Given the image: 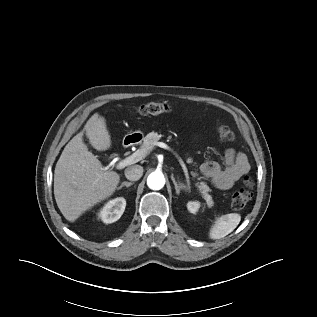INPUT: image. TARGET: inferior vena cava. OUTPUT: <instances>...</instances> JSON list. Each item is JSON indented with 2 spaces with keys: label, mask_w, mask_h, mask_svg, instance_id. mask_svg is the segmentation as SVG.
I'll return each mask as SVG.
<instances>
[{
  "label": "inferior vena cava",
  "mask_w": 317,
  "mask_h": 317,
  "mask_svg": "<svg viewBox=\"0 0 317 317\" xmlns=\"http://www.w3.org/2000/svg\"><path fill=\"white\" fill-rule=\"evenodd\" d=\"M143 175V167L140 165H133L125 169V176L128 180L137 181Z\"/></svg>",
  "instance_id": "1"
}]
</instances>
